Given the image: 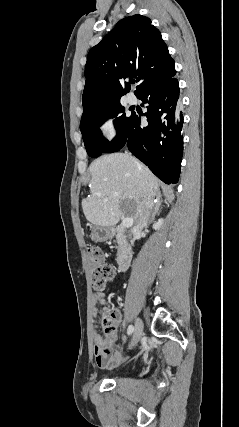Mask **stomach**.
I'll use <instances>...</instances> for the list:
<instances>
[{
    "label": "stomach",
    "mask_w": 239,
    "mask_h": 427,
    "mask_svg": "<svg viewBox=\"0 0 239 427\" xmlns=\"http://www.w3.org/2000/svg\"><path fill=\"white\" fill-rule=\"evenodd\" d=\"M114 231L109 227L93 226L91 230V239L95 242H104L110 239Z\"/></svg>",
    "instance_id": "0dacf381"
}]
</instances>
